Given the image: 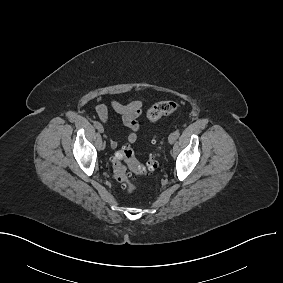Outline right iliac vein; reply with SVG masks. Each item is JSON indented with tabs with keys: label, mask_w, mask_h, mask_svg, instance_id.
Wrapping results in <instances>:
<instances>
[{
	"label": "right iliac vein",
	"mask_w": 283,
	"mask_h": 283,
	"mask_svg": "<svg viewBox=\"0 0 283 283\" xmlns=\"http://www.w3.org/2000/svg\"><path fill=\"white\" fill-rule=\"evenodd\" d=\"M97 129H98V131H99L100 133H103V132H104V128H103L102 125H100Z\"/></svg>",
	"instance_id": "1"
}]
</instances>
